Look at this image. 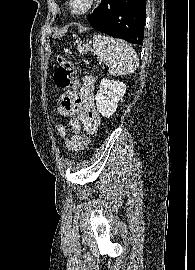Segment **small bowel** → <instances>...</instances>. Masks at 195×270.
I'll return each instance as SVG.
<instances>
[{
    "instance_id": "obj_1",
    "label": "small bowel",
    "mask_w": 195,
    "mask_h": 270,
    "mask_svg": "<svg viewBox=\"0 0 195 270\" xmlns=\"http://www.w3.org/2000/svg\"><path fill=\"white\" fill-rule=\"evenodd\" d=\"M94 88L95 79L91 75H86L80 84L78 97L74 104L68 108L58 107V113L64 117L75 116L76 119L70 120L67 124L71 132L70 137L66 135V126L60 124L57 126L59 135L64 139L68 150L76 151L80 147L78 145V138L81 126L86 132L92 134L96 131L100 116L95 108L94 103Z\"/></svg>"
}]
</instances>
